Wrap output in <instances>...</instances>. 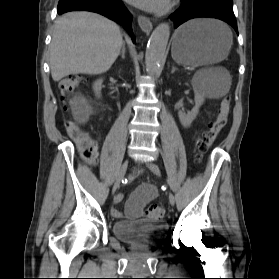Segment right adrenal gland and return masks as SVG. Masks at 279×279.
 <instances>
[{
    "label": "right adrenal gland",
    "mask_w": 279,
    "mask_h": 279,
    "mask_svg": "<svg viewBox=\"0 0 279 279\" xmlns=\"http://www.w3.org/2000/svg\"><path fill=\"white\" fill-rule=\"evenodd\" d=\"M120 55H121V58H122V59H125V42H124L123 45H122V50H121Z\"/></svg>",
    "instance_id": "right-adrenal-gland-1"
}]
</instances>
